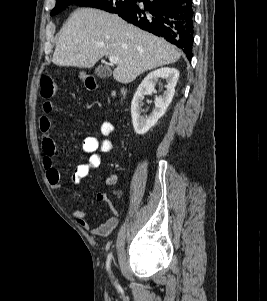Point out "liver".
<instances>
[{
	"instance_id": "obj_1",
	"label": "liver",
	"mask_w": 267,
	"mask_h": 301,
	"mask_svg": "<svg viewBox=\"0 0 267 301\" xmlns=\"http://www.w3.org/2000/svg\"><path fill=\"white\" fill-rule=\"evenodd\" d=\"M103 56H116L113 77L130 83L140 74L175 63L178 49L118 15L93 8L74 11L62 29L52 62L57 66L93 67Z\"/></svg>"
}]
</instances>
